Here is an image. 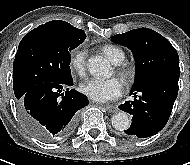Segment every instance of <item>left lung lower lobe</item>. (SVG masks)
<instances>
[{
    "mask_svg": "<svg viewBox=\"0 0 190 165\" xmlns=\"http://www.w3.org/2000/svg\"><path fill=\"white\" fill-rule=\"evenodd\" d=\"M179 73L163 72L149 77L131 94L134 101H126L119 108L133 115L125 133L138 138L158 133L167 123L178 94ZM140 96L137 97V94Z\"/></svg>",
    "mask_w": 190,
    "mask_h": 165,
    "instance_id": "left-lung-lower-lobe-1",
    "label": "left lung lower lobe"
}]
</instances>
